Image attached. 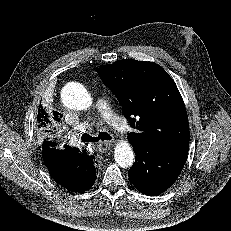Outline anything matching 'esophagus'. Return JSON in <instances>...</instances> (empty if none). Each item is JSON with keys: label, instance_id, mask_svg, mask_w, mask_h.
I'll use <instances>...</instances> for the list:
<instances>
[{"label": "esophagus", "instance_id": "obj_1", "mask_svg": "<svg viewBox=\"0 0 231 231\" xmlns=\"http://www.w3.org/2000/svg\"><path fill=\"white\" fill-rule=\"evenodd\" d=\"M112 146H113L112 142L104 141V142H100V144L98 145V148L100 152L106 153L112 148Z\"/></svg>", "mask_w": 231, "mask_h": 231}]
</instances>
